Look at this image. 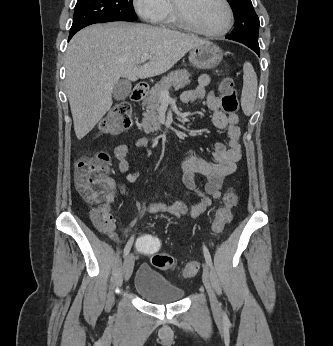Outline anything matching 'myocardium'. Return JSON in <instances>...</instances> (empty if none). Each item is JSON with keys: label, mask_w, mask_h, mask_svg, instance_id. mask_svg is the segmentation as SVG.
Listing matches in <instances>:
<instances>
[{"label": "myocardium", "mask_w": 333, "mask_h": 346, "mask_svg": "<svg viewBox=\"0 0 333 346\" xmlns=\"http://www.w3.org/2000/svg\"><path fill=\"white\" fill-rule=\"evenodd\" d=\"M171 1H172L175 17L178 23L184 28L196 34L206 36V37H221L227 34L233 26L234 13H233L232 6L228 0H221L227 12V22L221 30L215 31V32H209L199 28L187 14L185 5L182 1H177V0H171Z\"/></svg>", "instance_id": "1"}]
</instances>
